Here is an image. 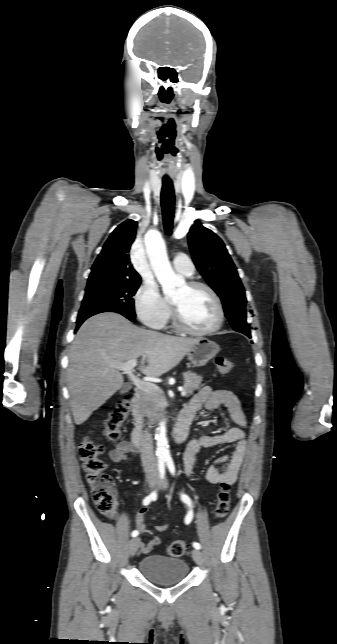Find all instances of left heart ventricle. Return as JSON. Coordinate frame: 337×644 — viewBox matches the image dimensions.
<instances>
[{
  "label": "left heart ventricle",
  "mask_w": 337,
  "mask_h": 644,
  "mask_svg": "<svg viewBox=\"0 0 337 644\" xmlns=\"http://www.w3.org/2000/svg\"><path fill=\"white\" fill-rule=\"evenodd\" d=\"M184 322L192 329L202 331L214 325L217 308L210 293L203 288L189 289L182 286L172 297Z\"/></svg>",
  "instance_id": "1"
}]
</instances>
